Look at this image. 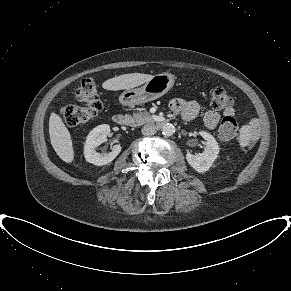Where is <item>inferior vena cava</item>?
<instances>
[{"label": "inferior vena cava", "instance_id": "inferior-vena-cava-1", "mask_svg": "<svg viewBox=\"0 0 291 291\" xmlns=\"http://www.w3.org/2000/svg\"><path fill=\"white\" fill-rule=\"evenodd\" d=\"M141 132L143 135H154L156 133V127L153 124L148 123L143 126Z\"/></svg>", "mask_w": 291, "mask_h": 291}]
</instances>
